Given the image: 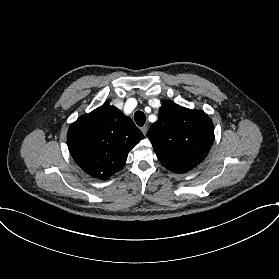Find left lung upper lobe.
<instances>
[{
	"instance_id": "5c2ea615",
	"label": "left lung upper lobe",
	"mask_w": 279,
	"mask_h": 279,
	"mask_svg": "<svg viewBox=\"0 0 279 279\" xmlns=\"http://www.w3.org/2000/svg\"><path fill=\"white\" fill-rule=\"evenodd\" d=\"M147 136L161 163L172 172L184 173L207 156L214 141V127L204 112L167 101Z\"/></svg>"
}]
</instances>
